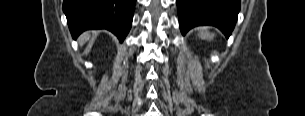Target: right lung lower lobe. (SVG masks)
<instances>
[{
  "instance_id": "obj_1",
  "label": "right lung lower lobe",
  "mask_w": 305,
  "mask_h": 116,
  "mask_svg": "<svg viewBox=\"0 0 305 116\" xmlns=\"http://www.w3.org/2000/svg\"><path fill=\"white\" fill-rule=\"evenodd\" d=\"M135 2L136 0H64L63 11L74 39L85 30L107 29L122 42L131 28Z\"/></svg>"
}]
</instances>
